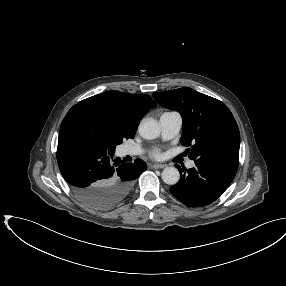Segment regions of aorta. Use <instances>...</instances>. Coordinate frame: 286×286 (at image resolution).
I'll list each match as a JSON object with an SVG mask.
<instances>
[{
  "label": "aorta",
  "instance_id": "1",
  "mask_svg": "<svg viewBox=\"0 0 286 286\" xmlns=\"http://www.w3.org/2000/svg\"><path fill=\"white\" fill-rule=\"evenodd\" d=\"M139 134L144 139L152 140L160 135V126L154 119H144L138 127ZM180 179V174L175 167H166L162 171V180L168 185H175Z\"/></svg>",
  "mask_w": 286,
  "mask_h": 286
}]
</instances>
